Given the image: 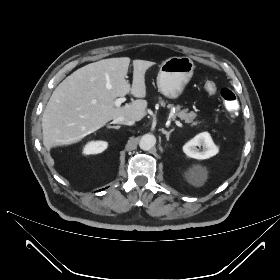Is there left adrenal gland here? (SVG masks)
Listing matches in <instances>:
<instances>
[{
    "label": "left adrenal gland",
    "mask_w": 280,
    "mask_h": 280,
    "mask_svg": "<svg viewBox=\"0 0 280 280\" xmlns=\"http://www.w3.org/2000/svg\"><path fill=\"white\" fill-rule=\"evenodd\" d=\"M173 131H174V129H171L170 131H166V130L162 129V133L166 135L167 141H169L170 134H171Z\"/></svg>",
    "instance_id": "obj_1"
}]
</instances>
